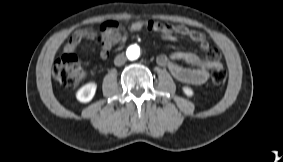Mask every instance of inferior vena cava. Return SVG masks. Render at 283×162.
<instances>
[{"mask_svg": "<svg viewBox=\"0 0 283 162\" xmlns=\"http://www.w3.org/2000/svg\"><path fill=\"white\" fill-rule=\"evenodd\" d=\"M126 62V57L123 54L117 55L114 59V64L116 66H121Z\"/></svg>", "mask_w": 283, "mask_h": 162, "instance_id": "inferior-vena-cava-1", "label": "inferior vena cava"}]
</instances>
